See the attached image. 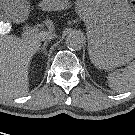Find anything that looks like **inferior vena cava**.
Listing matches in <instances>:
<instances>
[{
    "instance_id": "602c4592",
    "label": "inferior vena cava",
    "mask_w": 135,
    "mask_h": 135,
    "mask_svg": "<svg viewBox=\"0 0 135 135\" xmlns=\"http://www.w3.org/2000/svg\"><path fill=\"white\" fill-rule=\"evenodd\" d=\"M41 40L45 41V40H51L56 38V34L54 32L51 31H43L41 32Z\"/></svg>"
}]
</instances>
